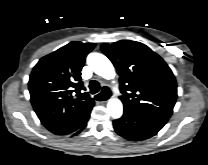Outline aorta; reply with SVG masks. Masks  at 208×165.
<instances>
[{"label":"aorta","instance_id":"1","mask_svg":"<svg viewBox=\"0 0 208 165\" xmlns=\"http://www.w3.org/2000/svg\"><path fill=\"white\" fill-rule=\"evenodd\" d=\"M87 63L92 68L94 73L105 79H113L116 75L113 64L103 54H89L87 57ZM107 110L111 117L120 118L123 113L122 102L118 98H111L108 101Z\"/></svg>","mask_w":208,"mask_h":165}]
</instances>
